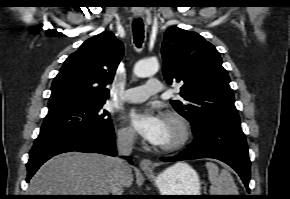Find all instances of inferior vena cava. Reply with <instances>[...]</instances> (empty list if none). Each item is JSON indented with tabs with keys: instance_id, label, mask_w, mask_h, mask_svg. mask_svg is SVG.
Segmentation results:
<instances>
[{
	"instance_id": "inferior-vena-cava-1",
	"label": "inferior vena cava",
	"mask_w": 290,
	"mask_h": 199,
	"mask_svg": "<svg viewBox=\"0 0 290 199\" xmlns=\"http://www.w3.org/2000/svg\"><path fill=\"white\" fill-rule=\"evenodd\" d=\"M135 132L125 130L118 133L117 151L119 156H129L134 146ZM112 158L114 171L111 180V195H122L125 172L128 168L126 162L121 157Z\"/></svg>"
}]
</instances>
